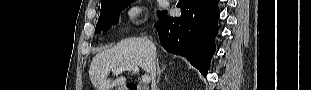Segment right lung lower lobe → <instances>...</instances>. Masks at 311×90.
Returning <instances> with one entry per match:
<instances>
[{
  "mask_svg": "<svg viewBox=\"0 0 311 90\" xmlns=\"http://www.w3.org/2000/svg\"><path fill=\"white\" fill-rule=\"evenodd\" d=\"M218 0H180V17L166 16L163 11L155 27L160 42L170 53L186 57L201 73L207 74L215 53V36L220 11Z\"/></svg>",
  "mask_w": 311,
  "mask_h": 90,
  "instance_id": "obj_1",
  "label": "right lung lower lobe"
}]
</instances>
